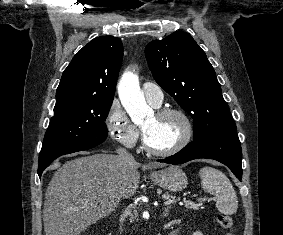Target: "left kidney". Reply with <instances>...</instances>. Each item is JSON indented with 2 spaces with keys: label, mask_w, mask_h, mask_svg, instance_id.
<instances>
[{
  "label": "left kidney",
  "mask_w": 283,
  "mask_h": 235,
  "mask_svg": "<svg viewBox=\"0 0 283 235\" xmlns=\"http://www.w3.org/2000/svg\"><path fill=\"white\" fill-rule=\"evenodd\" d=\"M193 235H203V234L200 231H196V232L193 233Z\"/></svg>",
  "instance_id": "obj_1"
}]
</instances>
